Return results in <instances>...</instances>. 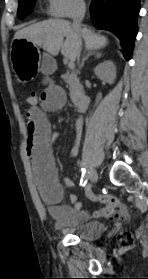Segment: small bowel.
Segmentation results:
<instances>
[{
  "mask_svg": "<svg viewBox=\"0 0 148 279\" xmlns=\"http://www.w3.org/2000/svg\"><path fill=\"white\" fill-rule=\"evenodd\" d=\"M65 101L63 89L47 81L45 89L38 97L37 104L31 106L27 113V153L32 163L38 189L42 198L50 205L53 217L64 224H77L89 218L110 216L119 201L114 196L104 195L100 199L103 206L94 211H88L83 208L79 196L73 194L69 198L72 206L59 205L63 192L51 150L54 132L46 113L61 109ZM77 127H80L79 120ZM77 148L78 140L76 139L74 150L76 151ZM63 183L67 187L74 186V182L68 177L63 179ZM88 194L91 196L89 192Z\"/></svg>",
  "mask_w": 148,
  "mask_h": 279,
  "instance_id": "obj_1",
  "label": "small bowel"
}]
</instances>
